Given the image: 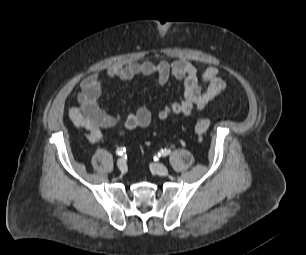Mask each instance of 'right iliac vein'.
Wrapping results in <instances>:
<instances>
[{"mask_svg": "<svg viewBox=\"0 0 306 255\" xmlns=\"http://www.w3.org/2000/svg\"><path fill=\"white\" fill-rule=\"evenodd\" d=\"M117 167L121 172H125L127 169V164L124 159H119L117 161Z\"/></svg>", "mask_w": 306, "mask_h": 255, "instance_id": "obj_1", "label": "right iliac vein"}]
</instances>
